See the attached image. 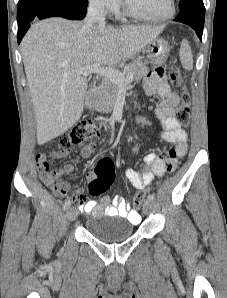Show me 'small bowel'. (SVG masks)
I'll list each match as a JSON object with an SVG mask.
<instances>
[{
  "instance_id": "small-bowel-1",
  "label": "small bowel",
  "mask_w": 227,
  "mask_h": 298,
  "mask_svg": "<svg viewBox=\"0 0 227 298\" xmlns=\"http://www.w3.org/2000/svg\"><path fill=\"white\" fill-rule=\"evenodd\" d=\"M158 68H163V63H158ZM165 68H170V63H165ZM167 69H155V73L149 74L144 81V90L147 96H156L154 114L160 120V138L162 141L173 145L167 157L155 153L147 154L143 161L144 165L141 172L132 168L125 171V176L131 185L139 190L145 189L153 181L154 177H161L166 172L175 169L178 162L186 155L187 133L177 122L175 113L179 107V96L168 89ZM96 149L94 143H88L81 148L83 159L89 158ZM69 154L67 149H60L52 153L55 158H63ZM48 155L38 153L35 156L36 167L43 181L52 187L56 194L65 196L72 193L70 185L58 178L74 171L73 164H67L58 170L52 171L49 167ZM93 172L87 173V178L91 180ZM72 199L79 204V209L88 216H119L127 218L131 222H139L140 215L132 210L128 202L122 197L115 196L112 200L108 196L101 198L100 202L87 200L82 190H77L72 194Z\"/></svg>"
}]
</instances>
